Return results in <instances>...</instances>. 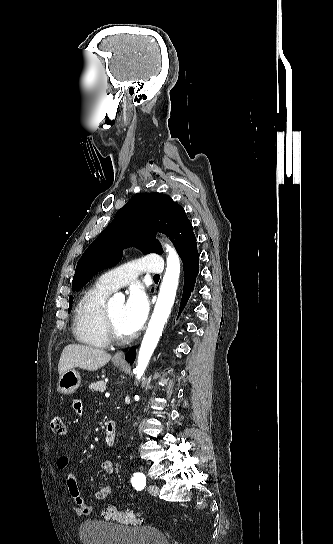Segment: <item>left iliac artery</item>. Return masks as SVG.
Here are the masks:
<instances>
[{
    "instance_id": "1",
    "label": "left iliac artery",
    "mask_w": 333,
    "mask_h": 544,
    "mask_svg": "<svg viewBox=\"0 0 333 544\" xmlns=\"http://www.w3.org/2000/svg\"><path fill=\"white\" fill-rule=\"evenodd\" d=\"M131 483L136 490H142L146 486V477L141 472L134 473L131 478Z\"/></svg>"
}]
</instances>
